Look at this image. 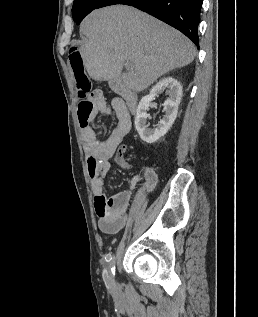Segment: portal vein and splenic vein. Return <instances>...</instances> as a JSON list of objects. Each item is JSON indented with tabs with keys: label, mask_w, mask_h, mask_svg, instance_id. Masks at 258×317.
<instances>
[{
	"label": "portal vein and splenic vein",
	"mask_w": 258,
	"mask_h": 317,
	"mask_svg": "<svg viewBox=\"0 0 258 317\" xmlns=\"http://www.w3.org/2000/svg\"><path fill=\"white\" fill-rule=\"evenodd\" d=\"M125 64H126V68H130V62H129V60H127V62H125Z\"/></svg>",
	"instance_id": "18ae733b"
}]
</instances>
